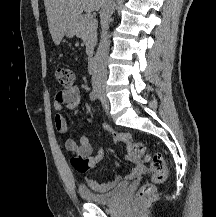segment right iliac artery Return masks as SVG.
<instances>
[{
    "label": "right iliac artery",
    "mask_w": 216,
    "mask_h": 217,
    "mask_svg": "<svg viewBox=\"0 0 216 217\" xmlns=\"http://www.w3.org/2000/svg\"><path fill=\"white\" fill-rule=\"evenodd\" d=\"M90 99L92 100V101H95L96 99H97V94L95 93V91L93 90V91H91L90 92Z\"/></svg>",
    "instance_id": "obj_1"
}]
</instances>
